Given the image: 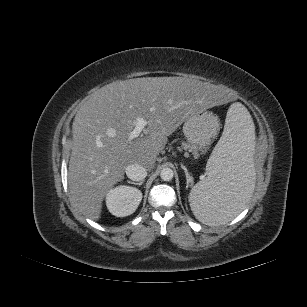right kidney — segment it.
<instances>
[{"label": "right kidney", "mask_w": 307, "mask_h": 307, "mask_svg": "<svg viewBox=\"0 0 307 307\" xmlns=\"http://www.w3.org/2000/svg\"><path fill=\"white\" fill-rule=\"evenodd\" d=\"M142 200V192L134 187L120 185L106 195V205L109 212L117 217L131 215Z\"/></svg>", "instance_id": "right-kidney-1"}]
</instances>
